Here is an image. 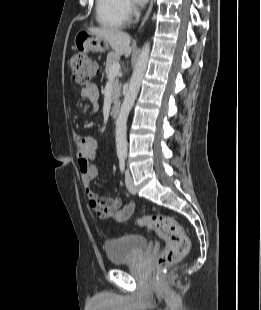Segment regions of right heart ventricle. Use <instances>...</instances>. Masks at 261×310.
Segmentation results:
<instances>
[{"label":"right heart ventricle","mask_w":261,"mask_h":310,"mask_svg":"<svg viewBox=\"0 0 261 310\" xmlns=\"http://www.w3.org/2000/svg\"><path fill=\"white\" fill-rule=\"evenodd\" d=\"M95 16L100 26L110 29L122 28L128 21L122 10V0H96Z\"/></svg>","instance_id":"1"}]
</instances>
